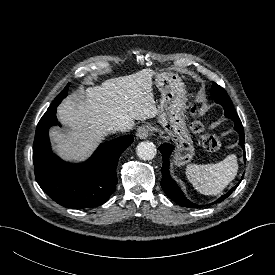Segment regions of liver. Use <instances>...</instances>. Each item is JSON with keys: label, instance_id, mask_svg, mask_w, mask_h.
Returning a JSON list of instances; mask_svg holds the SVG:
<instances>
[{"label": "liver", "instance_id": "obj_1", "mask_svg": "<svg viewBox=\"0 0 275 275\" xmlns=\"http://www.w3.org/2000/svg\"><path fill=\"white\" fill-rule=\"evenodd\" d=\"M146 68L128 76L111 78L100 86H91L78 99L68 98L58 107L62 124L70 128L63 133L50 130L56 152L66 160L82 161L120 123L154 118L156 108L152 77Z\"/></svg>", "mask_w": 275, "mask_h": 275}]
</instances>
